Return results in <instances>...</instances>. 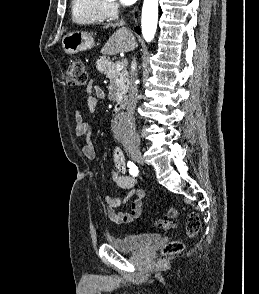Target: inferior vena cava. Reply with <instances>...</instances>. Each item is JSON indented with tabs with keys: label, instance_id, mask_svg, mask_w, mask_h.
Returning <instances> with one entry per match:
<instances>
[{
	"label": "inferior vena cava",
	"instance_id": "1",
	"mask_svg": "<svg viewBox=\"0 0 259 294\" xmlns=\"http://www.w3.org/2000/svg\"><path fill=\"white\" fill-rule=\"evenodd\" d=\"M125 24L124 20L121 19L118 22V25L123 26ZM137 63L136 59L134 58L131 63V74H130V87H129V100L127 104V114L128 116L134 121L135 117V109L138 100V86H137ZM133 142L137 146L139 145V138L137 136L133 137Z\"/></svg>",
	"mask_w": 259,
	"mask_h": 294
}]
</instances>
